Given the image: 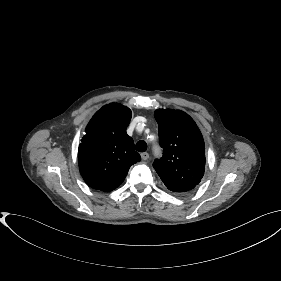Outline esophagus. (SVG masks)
<instances>
[{
  "label": "esophagus",
  "mask_w": 281,
  "mask_h": 281,
  "mask_svg": "<svg viewBox=\"0 0 281 281\" xmlns=\"http://www.w3.org/2000/svg\"><path fill=\"white\" fill-rule=\"evenodd\" d=\"M142 160H147L149 158V154L147 152L141 153Z\"/></svg>",
  "instance_id": "1"
}]
</instances>
